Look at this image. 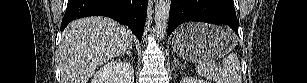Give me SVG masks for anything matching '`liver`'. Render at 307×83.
I'll return each mask as SVG.
<instances>
[{
  "label": "liver",
  "mask_w": 307,
  "mask_h": 83,
  "mask_svg": "<svg viewBox=\"0 0 307 83\" xmlns=\"http://www.w3.org/2000/svg\"><path fill=\"white\" fill-rule=\"evenodd\" d=\"M132 33L101 16L72 21L59 47L61 83H87L98 66L132 47Z\"/></svg>",
  "instance_id": "obj_1"
}]
</instances>
